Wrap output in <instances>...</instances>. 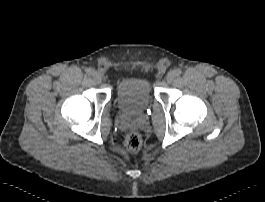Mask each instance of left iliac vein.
Returning <instances> with one entry per match:
<instances>
[{
    "mask_svg": "<svg viewBox=\"0 0 265 202\" xmlns=\"http://www.w3.org/2000/svg\"><path fill=\"white\" fill-rule=\"evenodd\" d=\"M175 77H176V74H175L174 70H170L167 73L166 80H167L168 83H171V82H173Z\"/></svg>",
    "mask_w": 265,
    "mask_h": 202,
    "instance_id": "obj_1",
    "label": "left iliac vein"
}]
</instances>
